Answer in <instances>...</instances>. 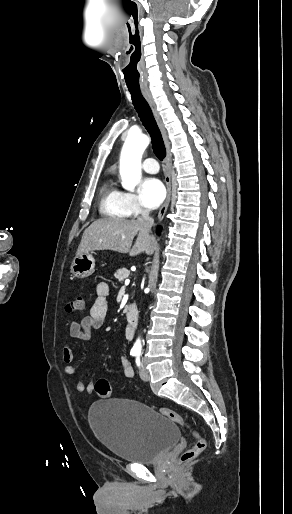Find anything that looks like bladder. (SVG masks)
<instances>
[{"instance_id": "1", "label": "bladder", "mask_w": 292, "mask_h": 514, "mask_svg": "<svg viewBox=\"0 0 292 514\" xmlns=\"http://www.w3.org/2000/svg\"><path fill=\"white\" fill-rule=\"evenodd\" d=\"M88 421L96 438L114 457L131 463L157 461L180 437L172 420L130 399L93 403Z\"/></svg>"}]
</instances>
